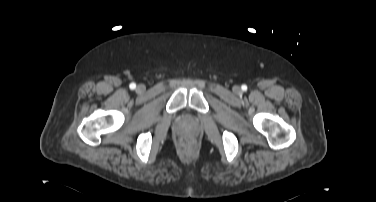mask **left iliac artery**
I'll list each match as a JSON object with an SVG mask.
<instances>
[{
	"instance_id": "obj_1",
	"label": "left iliac artery",
	"mask_w": 376,
	"mask_h": 202,
	"mask_svg": "<svg viewBox=\"0 0 376 202\" xmlns=\"http://www.w3.org/2000/svg\"><path fill=\"white\" fill-rule=\"evenodd\" d=\"M242 90H243V91L247 90V86H246V85H243V86H242Z\"/></svg>"
}]
</instances>
